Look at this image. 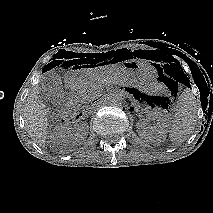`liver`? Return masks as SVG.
Segmentation results:
<instances>
[{
    "mask_svg": "<svg viewBox=\"0 0 213 213\" xmlns=\"http://www.w3.org/2000/svg\"><path fill=\"white\" fill-rule=\"evenodd\" d=\"M115 70L116 68L114 66L110 68H99L95 70V76L99 78ZM38 94V87H34L25 101L23 117L29 136L37 145L45 147L48 134L47 117L49 110L42 103Z\"/></svg>",
    "mask_w": 213,
    "mask_h": 213,
    "instance_id": "liver-1",
    "label": "liver"
}]
</instances>
